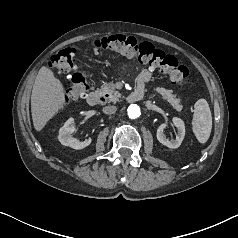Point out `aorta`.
<instances>
[{"label":"aorta","mask_w":238,"mask_h":238,"mask_svg":"<svg viewBox=\"0 0 238 238\" xmlns=\"http://www.w3.org/2000/svg\"><path fill=\"white\" fill-rule=\"evenodd\" d=\"M127 114L131 119L138 118L141 115L140 107L136 104H131L127 109Z\"/></svg>","instance_id":"1"}]
</instances>
